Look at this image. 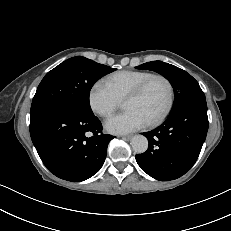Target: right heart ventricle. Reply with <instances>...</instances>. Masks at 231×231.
Returning a JSON list of instances; mask_svg holds the SVG:
<instances>
[{
    "mask_svg": "<svg viewBox=\"0 0 231 231\" xmlns=\"http://www.w3.org/2000/svg\"><path fill=\"white\" fill-rule=\"evenodd\" d=\"M151 75L149 71L123 70L109 75L105 84L121 101Z\"/></svg>",
    "mask_w": 231,
    "mask_h": 231,
    "instance_id": "right-heart-ventricle-1",
    "label": "right heart ventricle"
}]
</instances>
